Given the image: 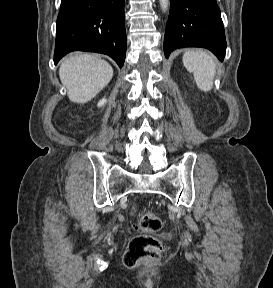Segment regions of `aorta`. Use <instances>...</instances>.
<instances>
[{
    "instance_id": "1",
    "label": "aorta",
    "mask_w": 273,
    "mask_h": 288,
    "mask_svg": "<svg viewBox=\"0 0 273 288\" xmlns=\"http://www.w3.org/2000/svg\"><path fill=\"white\" fill-rule=\"evenodd\" d=\"M160 6L163 10V12H167L170 7V1L169 0H159Z\"/></svg>"
}]
</instances>
